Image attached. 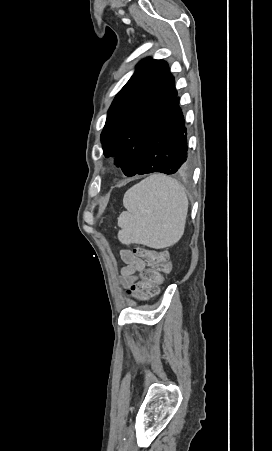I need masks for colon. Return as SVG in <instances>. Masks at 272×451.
<instances>
[{
  "label": "colon",
  "mask_w": 272,
  "mask_h": 451,
  "mask_svg": "<svg viewBox=\"0 0 272 451\" xmlns=\"http://www.w3.org/2000/svg\"><path fill=\"white\" fill-rule=\"evenodd\" d=\"M132 258H144L151 267L135 274V282L127 291L128 297L146 300L156 294L163 277L171 271L169 254L163 250L132 249Z\"/></svg>",
  "instance_id": "obj_1"
}]
</instances>
